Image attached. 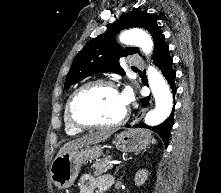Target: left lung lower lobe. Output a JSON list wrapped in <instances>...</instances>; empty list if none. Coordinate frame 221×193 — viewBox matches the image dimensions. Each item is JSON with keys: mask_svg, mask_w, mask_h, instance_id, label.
Listing matches in <instances>:
<instances>
[{"mask_svg": "<svg viewBox=\"0 0 221 193\" xmlns=\"http://www.w3.org/2000/svg\"><path fill=\"white\" fill-rule=\"evenodd\" d=\"M153 62L162 71L170 88L172 89L173 96H175V93L177 90L175 86L176 73L172 68L173 60L169 54V48H168V45L165 43V41L162 42L158 46V48L154 51ZM148 99L149 97H146L141 100V103L144 107L148 105ZM172 126H173V113L164 122L154 127H149L146 124L141 123V122H139L138 124H135V127L148 128L158 133L161 136L166 147L168 146L169 133H170Z\"/></svg>", "mask_w": 221, "mask_h": 193, "instance_id": "0a47b994", "label": "left lung lower lobe"}]
</instances>
